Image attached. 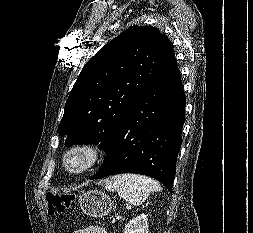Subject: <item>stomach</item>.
<instances>
[{
  "label": "stomach",
  "instance_id": "0dacf381",
  "mask_svg": "<svg viewBox=\"0 0 253 233\" xmlns=\"http://www.w3.org/2000/svg\"><path fill=\"white\" fill-rule=\"evenodd\" d=\"M81 210L92 217L107 215L113 208V201L102 191L89 190L79 196Z\"/></svg>",
  "mask_w": 253,
  "mask_h": 233
}]
</instances>
